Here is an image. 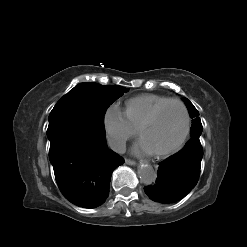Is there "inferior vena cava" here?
<instances>
[{
    "instance_id": "inferior-vena-cava-1",
    "label": "inferior vena cava",
    "mask_w": 247,
    "mask_h": 247,
    "mask_svg": "<svg viewBox=\"0 0 247 247\" xmlns=\"http://www.w3.org/2000/svg\"><path fill=\"white\" fill-rule=\"evenodd\" d=\"M108 145L113 151L117 153L123 154L126 152V143L122 140L109 139Z\"/></svg>"
}]
</instances>
